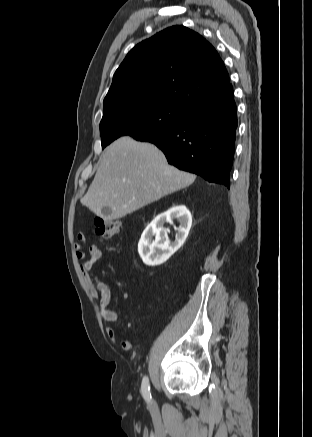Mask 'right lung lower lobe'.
I'll return each mask as SVG.
<instances>
[{"label": "right lung lower lobe", "instance_id": "1", "mask_svg": "<svg viewBox=\"0 0 312 437\" xmlns=\"http://www.w3.org/2000/svg\"><path fill=\"white\" fill-rule=\"evenodd\" d=\"M237 108L230 84L221 94L188 110L175 128L145 141L159 147L170 164L230 187Z\"/></svg>", "mask_w": 312, "mask_h": 437}]
</instances>
